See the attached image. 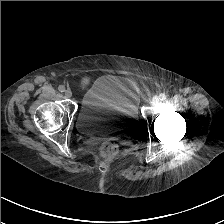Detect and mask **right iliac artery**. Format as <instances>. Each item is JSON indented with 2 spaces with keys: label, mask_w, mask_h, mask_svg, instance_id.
<instances>
[{
  "label": "right iliac artery",
  "mask_w": 224,
  "mask_h": 224,
  "mask_svg": "<svg viewBox=\"0 0 224 224\" xmlns=\"http://www.w3.org/2000/svg\"><path fill=\"white\" fill-rule=\"evenodd\" d=\"M58 90H59L60 92H65V87H64L63 85H60V86L58 87Z\"/></svg>",
  "instance_id": "82829eb1"
}]
</instances>
